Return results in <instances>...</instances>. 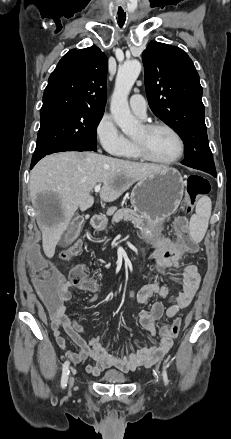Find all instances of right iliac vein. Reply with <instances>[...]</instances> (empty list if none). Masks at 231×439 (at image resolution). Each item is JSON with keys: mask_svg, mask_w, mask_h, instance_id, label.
Masks as SVG:
<instances>
[{"mask_svg": "<svg viewBox=\"0 0 231 439\" xmlns=\"http://www.w3.org/2000/svg\"><path fill=\"white\" fill-rule=\"evenodd\" d=\"M74 370H72L71 374H70V378H69V386L72 387L74 384Z\"/></svg>", "mask_w": 231, "mask_h": 439, "instance_id": "right-iliac-vein-1", "label": "right iliac vein"}]
</instances>
